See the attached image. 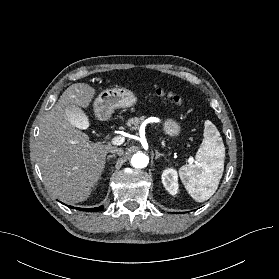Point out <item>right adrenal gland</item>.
<instances>
[{"label": "right adrenal gland", "instance_id": "obj_1", "mask_svg": "<svg viewBox=\"0 0 279 279\" xmlns=\"http://www.w3.org/2000/svg\"><path fill=\"white\" fill-rule=\"evenodd\" d=\"M115 157H116V155H115V154H113V155H109V156L107 157V162H109L111 158H115Z\"/></svg>", "mask_w": 279, "mask_h": 279}]
</instances>
